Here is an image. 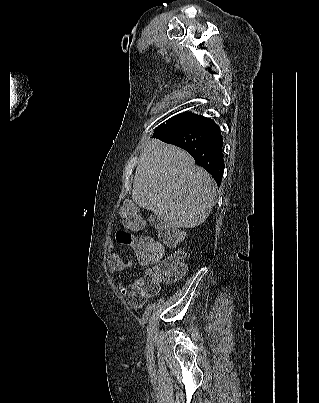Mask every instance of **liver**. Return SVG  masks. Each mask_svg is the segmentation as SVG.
<instances>
[{
    "instance_id": "1",
    "label": "liver",
    "mask_w": 319,
    "mask_h": 403,
    "mask_svg": "<svg viewBox=\"0 0 319 403\" xmlns=\"http://www.w3.org/2000/svg\"><path fill=\"white\" fill-rule=\"evenodd\" d=\"M216 186L186 151L160 140L148 141L136 168L132 199L166 224L194 228L208 217Z\"/></svg>"
}]
</instances>
